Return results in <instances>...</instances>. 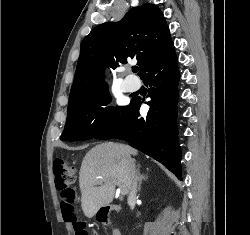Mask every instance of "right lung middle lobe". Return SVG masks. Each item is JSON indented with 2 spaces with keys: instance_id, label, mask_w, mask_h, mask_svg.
I'll list each match as a JSON object with an SVG mask.
<instances>
[{
  "instance_id": "right-lung-middle-lobe-1",
  "label": "right lung middle lobe",
  "mask_w": 250,
  "mask_h": 235,
  "mask_svg": "<svg viewBox=\"0 0 250 235\" xmlns=\"http://www.w3.org/2000/svg\"><path fill=\"white\" fill-rule=\"evenodd\" d=\"M110 101L108 87L105 86L69 102L61 140L81 141L96 138L126 108V106L106 107Z\"/></svg>"
}]
</instances>
